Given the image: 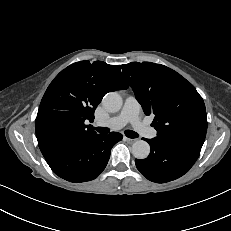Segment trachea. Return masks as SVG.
I'll use <instances>...</instances> for the list:
<instances>
[{"label":"trachea","instance_id":"3493384b","mask_svg":"<svg viewBox=\"0 0 231 231\" xmlns=\"http://www.w3.org/2000/svg\"><path fill=\"white\" fill-rule=\"evenodd\" d=\"M95 130L98 131L101 134H107L110 131L109 128H105V127H96ZM125 135L128 138H132V139L138 137V134L136 132H134V131H131V130H126Z\"/></svg>","mask_w":231,"mask_h":231}]
</instances>
